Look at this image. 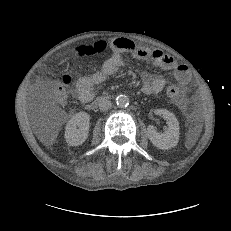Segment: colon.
<instances>
[{
	"label": "colon",
	"mask_w": 231,
	"mask_h": 231,
	"mask_svg": "<svg viewBox=\"0 0 231 231\" xmlns=\"http://www.w3.org/2000/svg\"><path fill=\"white\" fill-rule=\"evenodd\" d=\"M109 49V45L106 42H98L92 47L86 50L88 54L101 55ZM71 83V77L69 75H63L61 79H55L53 81L52 97L58 103H63L66 100L67 87ZM169 97L176 98L179 95V90L176 86H169L167 89Z\"/></svg>",
	"instance_id": "obj_1"
}]
</instances>
